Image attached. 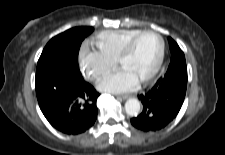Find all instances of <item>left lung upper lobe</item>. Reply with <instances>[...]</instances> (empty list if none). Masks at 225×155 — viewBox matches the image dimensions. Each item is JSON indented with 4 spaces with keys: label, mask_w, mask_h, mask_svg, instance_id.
I'll return each mask as SVG.
<instances>
[{
    "label": "left lung upper lobe",
    "mask_w": 225,
    "mask_h": 155,
    "mask_svg": "<svg viewBox=\"0 0 225 155\" xmlns=\"http://www.w3.org/2000/svg\"><path fill=\"white\" fill-rule=\"evenodd\" d=\"M168 40L172 53L171 61L167 73L159 80L176 79L187 84V66L184 53L172 38L169 37Z\"/></svg>",
    "instance_id": "obj_1"
}]
</instances>
